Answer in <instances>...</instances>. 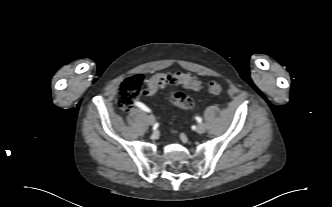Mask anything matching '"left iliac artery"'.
<instances>
[{"label":"left iliac artery","instance_id":"left-iliac-artery-1","mask_svg":"<svg viewBox=\"0 0 332 207\" xmlns=\"http://www.w3.org/2000/svg\"><path fill=\"white\" fill-rule=\"evenodd\" d=\"M196 120H197L198 122H201V121H202V118H201V117H197Z\"/></svg>","mask_w":332,"mask_h":207}]
</instances>
